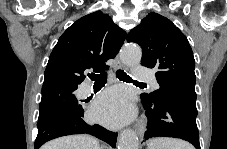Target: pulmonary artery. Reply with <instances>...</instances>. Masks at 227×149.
Here are the masks:
<instances>
[{
    "instance_id": "pulmonary-artery-1",
    "label": "pulmonary artery",
    "mask_w": 227,
    "mask_h": 149,
    "mask_svg": "<svg viewBox=\"0 0 227 149\" xmlns=\"http://www.w3.org/2000/svg\"><path fill=\"white\" fill-rule=\"evenodd\" d=\"M134 72H135V80H138L141 82H147L151 84L153 88H158V83L155 80L154 75L149 68L136 67L134 69ZM89 92H90L89 88L84 91L85 94H88Z\"/></svg>"
}]
</instances>
